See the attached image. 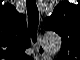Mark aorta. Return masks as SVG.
I'll return each instance as SVG.
<instances>
[{
    "mask_svg": "<svg viewBox=\"0 0 80 60\" xmlns=\"http://www.w3.org/2000/svg\"><path fill=\"white\" fill-rule=\"evenodd\" d=\"M45 43L50 52H58L61 48V38L57 34H47Z\"/></svg>",
    "mask_w": 80,
    "mask_h": 60,
    "instance_id": "aorta-1",
    "label": "aorta"
}]
</instances>
